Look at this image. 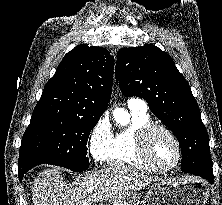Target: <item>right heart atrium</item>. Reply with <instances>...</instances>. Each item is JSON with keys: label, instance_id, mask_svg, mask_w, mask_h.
Instances as JSON below:
<instances>
[{"label": "right heart atrium", "instance_id": "right-heart-atrium-1", "mask_svg": "<svg viewBox=\"0 0 222 205\" xmlns=\"http://www.w3.org/2000/svg\"><path fill=\"white\" fill-rule=\"evenodd\" d=\"M112 140V134L108 121L105 118L100 119L90 134V151L97 161L104 160L108 153Z\"/></svg>", "mask_w": 222, "mask_h": 205}]
</instances>
